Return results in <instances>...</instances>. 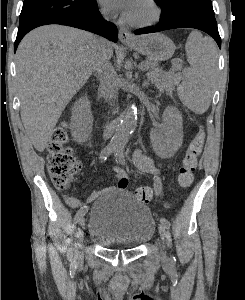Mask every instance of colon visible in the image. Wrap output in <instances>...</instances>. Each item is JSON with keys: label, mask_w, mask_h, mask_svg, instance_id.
<instances>
[{"label": "colon", "mask_w": 245, "mask_h": 300, "mask_svg": "<svg viewBox=\"0 0 245 300\" xmlns=\"http://www.w3.org/2000/svg\"><path fill=\"white\" fill-rule=\"evenodd\" d=\"M205 141V130L200 127L190 142L178 173V184L188 188L194 179V171ZM69 136L64 126L57 127L47 145V167L54 186L60 191L68 190L80 171L81 164L72 149L67 146ZM136 198L148 203L153 197V191L148 186H142L135 191Z\"/></svg>", "instance_id": "5ec220e1"}]
</instances>
